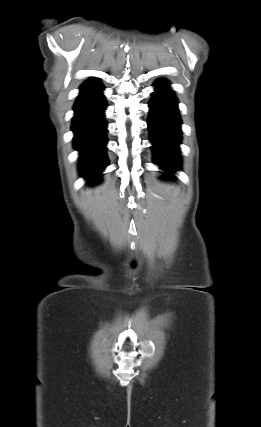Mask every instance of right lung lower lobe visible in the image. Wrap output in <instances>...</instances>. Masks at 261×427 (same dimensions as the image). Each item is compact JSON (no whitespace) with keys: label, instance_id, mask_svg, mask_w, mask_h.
Returning <instances> with one entry per match:
<instances>
[{"label":"right lung lower lobe","instance_id":"obj_1","mask_svg":"<svg viewBox=\"0 0 261 427\" xmlns=\"http://www.w3.org/2000/svg\"><path fill=\"white\" fill-rule=\"evenodd\" d=\"M80 90L72 123L74 145L80 151L81 175L94 184L108 165L105 147L107 123L104 119L106 102L103 86L98 80L84 83Z\"/></svg>","mask_w":261,"mask_h":427}]
</instances>
